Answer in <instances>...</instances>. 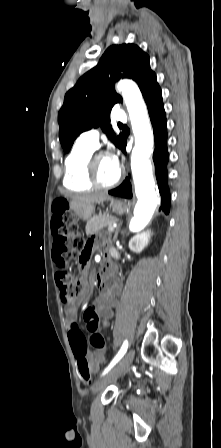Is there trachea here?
Masks as SVG:
<instances>
[{
  "label": "trachea",
  "instance_id": "trachea-1",
  "mask_svg": "<svg viewBox=\"0 0 221 448\" xmlns=\"http://www.w3.org/2000/svg\"><path fill=\"white\" fill-rule=\"evenodd\" d=\"M118 126H119V127H123V124H120V123H119Z\"/></svg>",
  "mask_w": 221,
  "mask_h": 448
}]
</instances>
